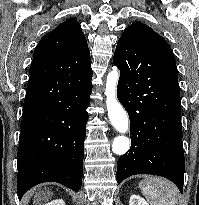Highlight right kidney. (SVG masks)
Here are the masks:
<instances>
[{
  "label": "right kidney",
  "instance_id": "ca27d5eb",
  "mask_svg": "<svg viewBox=\"0 0 199 205\" xmlns=\"http://www.w3.org/2000/svg\"><path fill=\"white\" fill-rule=\"evenodd\" d=\"M45 205H65V202L62 199H56V200L46 203Z\"/></svg>",
  "mask_w": 199,
  "mask_h": 205
}]
</instances>
